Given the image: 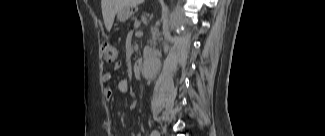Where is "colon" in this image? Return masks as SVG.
<instances>
[{"label":"colon","mask_w":325,"mask_h":136,"mask_svg":"<svg viewBox=\"0 0 325 136\" xmlns=\"http://www.w3.org/2000/svg\"><path fill=\"white\" fill-rule=\"evenodd\" d=\"M103 57L107 62H114L119 56L118 48L111 43H104L102 45Z\"/></svg>","instance_id":"1"}]
</instances>
